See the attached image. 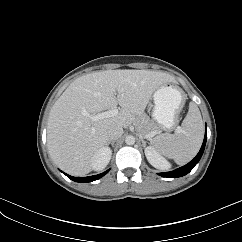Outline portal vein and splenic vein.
I'll return each mask as SVG.
<instances>
[{
  "mask_svg": "<svg viewBox=\"0 0 242 242\" xmlns=\"http://www.w3.org/2000/svg\"><path fill=\"white\" fill-rule=\"evenodd\" d=\"M119 113L117 108H112L108 111L99 113L97 115H90L87 111H83V115L88 116L92 121H97V120H101L104 118H108V117H114L117 116ZM181 127H177V131L176 132H181ZM146 137H150V136H146Z\"/></svg>",
  "mask_w": 242,
  "mask_h": 242,
  "instance_id": "18ae733b",
  "label": "portal vein and splenic vein"
}]
</instances>
